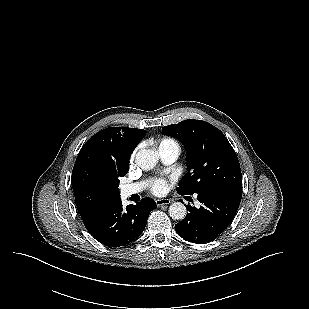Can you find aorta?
<instances>
[{
	"instance_id": "aorta-1",
	"label": "aorta",
	"mask_w": 309,
	"mask_h": 309,
	"mask_svg": "<svg viewBox=\"0 0 309 309\" xmlns=\"http://www.w3.org/2000/svg\"><path fill=\"white\" fill-rule=\"evenodd\" d=\"M159 155L151 149H141L137 152L135 162L143 170H151L158 163ZM169 215L174 220H182L186 217L187 209L181 202H174L169 207Z\"/></svg>"
}]
</instances>
